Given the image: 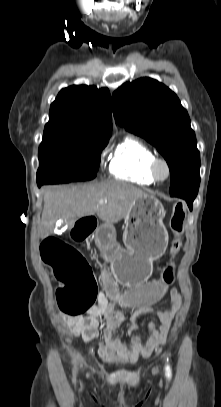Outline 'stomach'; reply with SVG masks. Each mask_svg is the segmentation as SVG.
<instances>
[{"instance_id":"0dacf381","label":"stomach","mask_w":221,"mask_h":407,"mask_svg":"<svg viewBox=\"0 0 221 407\" xmlns=\"http://www.w3.org/2000/svg\"><path fill=\"white\" fill-rule=\"evenodd\" d=\"M162 203L151 195L138 197L125 217L123 242L125 248H110L111 270L117 282H145L152 271V262L159 259L168 244L163 223ZM109 227L105 224L102 228Z\"/></svg>"}]
</instances>
